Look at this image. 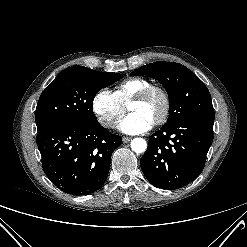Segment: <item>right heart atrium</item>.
Listing matches in <instances>:
<instances>
[{
	"instance_id": "d8ad5b80",
	"label": "right heart atrium",
	"mask_w": 247,
	"mask_h": 247,
	"mask_svg": "<svg viewBox=\"0 0 247 247\" xmlns=\"http://www.w3.org/2000/svg\"><path fill=\"white\" fill-rule=\"evenodd\" d=\"M92 111L98 122L105 128H113L124 115V105L108 89H100L92 98Z\"/></svg>"
}]
</instances>
